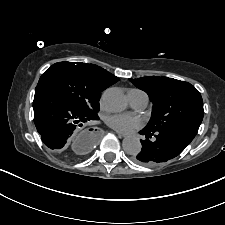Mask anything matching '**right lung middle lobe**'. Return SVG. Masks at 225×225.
I'll return each instance as SVG.
<instances>
[{
  "mask_svg": "<svg viewBox=\"0 0 225 225\" xmlns=\"http://www.w3.org/2000/svg\"><path fill=\"white\" fill-rule=\"evenodd\" d=\"M37 86L58 93L87 115L97 117L102 86L97 84L81 63L53 64L39 79Z\"/></svg>",
  "mask_w": 225,
  "mask_h": 225,
  "instance_id": "obj_1",
  "label": "right lung middle lobe"
}]
</instances>
